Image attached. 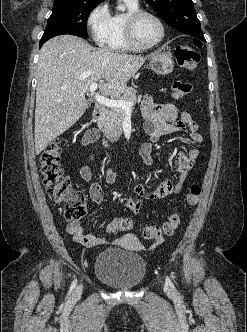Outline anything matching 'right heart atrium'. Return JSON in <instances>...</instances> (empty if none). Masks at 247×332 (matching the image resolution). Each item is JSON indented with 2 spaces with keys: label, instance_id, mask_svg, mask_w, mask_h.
I'll return each mask as SVG.
<instances>
[{
  "label": "right heart atrium",
  "instance_id": "obj_1",
  "mask_svg": "<svg viewBox=\"0 0 247 332\" xmlns=\"http://www.w3.org/2000/svg\"><path fill=\"white\" fill-rule=\"evenodd\" d=\"M110 11L104 1L96 4L86 18V27L92 40L98 45H104L110 23Z\"/></svg>",
  "mask_w": 247,
  "mask_h": 332
}]
</instances>
